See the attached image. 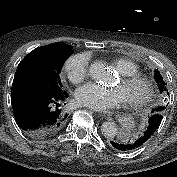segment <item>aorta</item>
I'll list each match as a JSON object with an SVG mask.
<instances>
[{"label":"aorta","mask_w":177,"mask_h":177,"mask_svg":"<svg viewBox=\"0 0 177 177\" xmlns=\"http://www.w3.org/2000/svg\"><path fill=\"white\" fill-rule=\"evenodd\" d=\"M90 76L100 82H108L111 79L110 70L101 62L95 61L89 67ZM102 134L107 138H114L117 135V126L114 122L108 121L102 124Z\"/></svg>","instance_id":"762f6f07"}]
</instances>
